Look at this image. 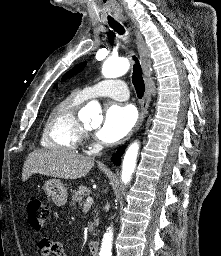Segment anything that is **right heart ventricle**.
Instances as JSON below:
<instances>
[{"label": "right heart ventricle", "mask_w": 221, "mask_h": 256, "mask_svg": "<svg viewBox=\"0 0 221 256\" xmlns=\"http://www.w3.org/2000/svg\"><path fill=\"white\" fill-rule=\"evenodd\" d=\"M85 100L81 92H74L52 107L42 130L43 147L64 152L76 150L83 136L77 110Z\"/></svg>", "instance_id": "right-heart-ventricle-1"}]
</instances>
